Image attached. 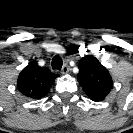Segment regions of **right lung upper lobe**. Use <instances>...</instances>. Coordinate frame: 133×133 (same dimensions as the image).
I'll use <instances>...</instances> for the list:
<instances>
[{
	"label": "right lung upper lobe",
	"instance_id": "obj_1",
	"mask_svg": "<svg viewBox=\"0 0 133 133\" xmlns=\"http://www.w3.org/2000/svg\"><path fill=\"white\" fill-rule=\"evenodd\" d=\"M59 75L49 69L40 67L36 62L25 67L19 74L17 87L26 97L40 99L44 97Z\"/></svg>",
	"mask_w": 133,
	"mask_h": 133
}]
</instances>
